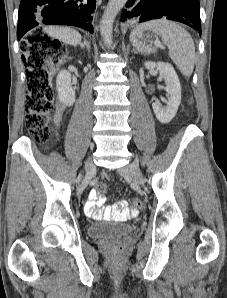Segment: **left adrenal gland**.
<instances>
[{
    "label": "left adrenal gland",
    "instance_id": "obj_1",
    "mask_svg": "<svg viewBox=\"0 0 227 298\" xmlns=\"http://www.w3.org/2000/svg\"><path fill=\"white\" fill-rule=\"evenodd\" d=\"M134 54H137V51L135 50V49H133V51H132Z\"/></svg>",
    "mask_w": 227,
    "mask_h": 298
}]
</instances>
